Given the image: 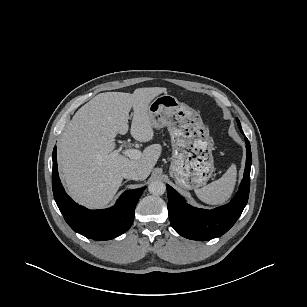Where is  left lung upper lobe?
Listing matches in <instances>:
<instances>
[{
	"mask_svg": "<svg viewBox=\"0 0 307 307\" xmlns=\"http://www.w3.org/2000/svg\"><path fill=\"white\" fill-rule=\"evenodd\" d=\"M237 123H238L240 131H242V128H241V125H240V121L238 119H237Z\"/></svg>",
	"mask_w": 307,
	"mask_h": 307,
	"instance_id": "obj_1",
	"label": "left lung upper lobe"
}]
</instances>
